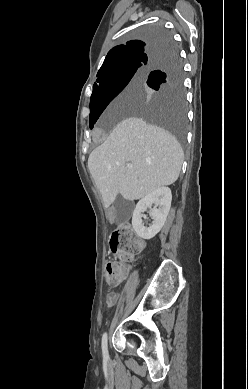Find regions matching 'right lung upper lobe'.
Masks as SVG:
<instances>
[{
    "label": "right lung upper lobe",
    "instance_id": "right-lung-upper-lobe-1",
    "mask_svg": "<svg viewBox=\"0 0 248 389\" xmlns=\"http://www.w3.org/2000/svg\"><path fill=\"white\" fill-rule=\"evenodd\" d=\"M165 44L164 42L152 43L132 40L126 45L116 46L108 52L97 77L100 78L106 73L120 68L138 65L142 68L151 66L155 63L156 57L162 56Z\"/></svg>",
    "mask_w": 248,
    "mask_h": 389
}]
</instances>
